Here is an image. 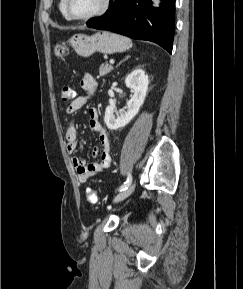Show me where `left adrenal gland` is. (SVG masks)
I'll list each match as a JSON object with an SVG mask.
<instances>
[{
	"mask_svg": "<svg viewBox=\"0 0 243 289\" xmlns=\"http://www.w3.org/2000/svg\"><path fill=\"white\" fill-rule=\"evenodd\" d=\"M129 57H130V56H127L124 60L128 59ZM124 60H123V61H124ZM123 61H121V62H123Z\"/></svg>",
	"mask_w": 243,
	"mask_h": 289,
	"instance_id": "left-adrenal-gland-1",
	"label": "left adrenal gland"
}]
</instances>
